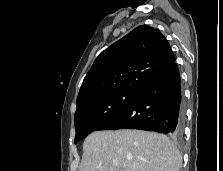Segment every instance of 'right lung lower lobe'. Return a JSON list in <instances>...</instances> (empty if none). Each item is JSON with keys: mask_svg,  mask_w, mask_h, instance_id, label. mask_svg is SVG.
I'll use <instances>...</instances> for the list:
<instances>
[{"mask_svg": "<svg viewBox=\"0 0 223 171\" xmlns=\"http://www.w3.org/2000/svg\"><path fill=\"white\" fill-rule=\"evenodd\" d=\"M183 123V95L179 70L174 63L98 130L142 129L181 138Z\"/></svg>", "mask_w": 223, "mask_h": 171, "instance_id": "98d812e1", "label": "right lung lower lobe"}]
</instances>
